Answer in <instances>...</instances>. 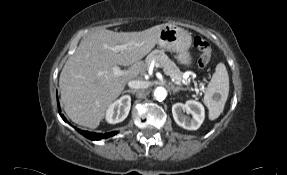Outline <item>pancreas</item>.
<instances>
[{
  "label": "pancreas",
  "instance_id": "pancreas-1",
  "mask_svg": "<svg viewBox=\"0 0 287 175\" xmlns=\"http://www.w3.org/2000/svg\"><path fill=\"white\" fill-rule=\"evenodd\" d=\"M146 64L150 65L152 61L159 63L164 72L172 78L181 80L183 73L176 64L164 53L163 50L155 49L146 57Z\"/></svg>",
  "mask_w": 287,
  "mask_h": 175
}]
</instances>
